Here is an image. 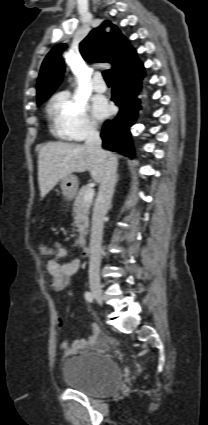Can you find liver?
Instances as JSON below:
<instances>
[{
    "instance_id": "1",
    "label": "liver",
    "mask_w": 208,
    "mask_h": 425,
    "mask_svg": "<svg viewBox=\"0 0 208 425\" xmlns=\"http://www.w3.org/2000/svg\"><path fill=\"white\" fill-rule=\"evenodd\" d=\"M85 171L90 172L95 182H101L104 162L86 145L64 142L47 143L39 150L38 155L40 196L44 198L63 178L74 172Z\"/></svg>"
}]
</instances>
